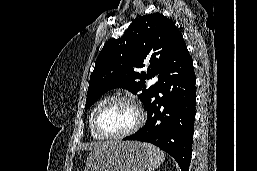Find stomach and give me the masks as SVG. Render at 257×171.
<instances>
[{
  "label": "stomach",
  "instance_id": "stomach-1",
  "mask_svg": "<svg viewBox=\"0 0 257 171\" xmlns=\"http://www.w3.org/2000/svg\"><path fill=\"white\" fill-rule=\"evenodd\" d=\"M149 167V154L135 141H118L92 151L85 171H145Z\"/></svg>",
  "mask_w": 257,
  "mask_h": 171
}]
</instances>
